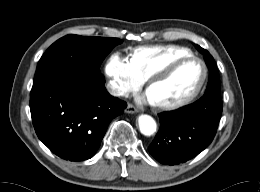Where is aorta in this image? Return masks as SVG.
I'll use <instances>...</instances> for the list:
<instances>
[{
    "label": "aorta",
    "mask_w": 260,
    "mask_h": 192,
    "mask_svg": "<svg viewBox=\"0 0 260 192\" xmlns=\"http://www.w3.org/2000/svg\"><path fill=\"white\" fill-rule=\"evenodd\" d=\"M138 125L140 132L145 136H151L156 132V122L155 120L146 114H142L138 118Z\"/></svg>",
    "instance_id": "1"
}]
</instances>
